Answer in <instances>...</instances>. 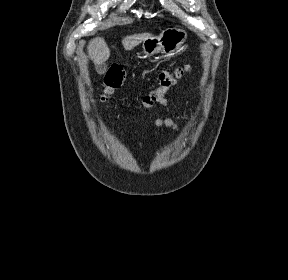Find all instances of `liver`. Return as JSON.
I'll list each match as a JSON object with an SVG mask.
<instances>
[{
  "label": "liver",
  "instance_id": "1",
  "mask_svg": "<svg viewBox=\"0 0 288 280\" xmlns=\"http://www.w3.org/2000/svg\"><path fill=\"white\" fill-rule=\"evenodd\" d=\"M152 37L150 33L135 34L122 39L125 50H132L142 41ZM90 58L95 64L106 62L110 57V49L102 37L92 39L87 47Z\"/></svg>",
  "mask_w": 288,
  "mask_h": 280
}]
</instances>
